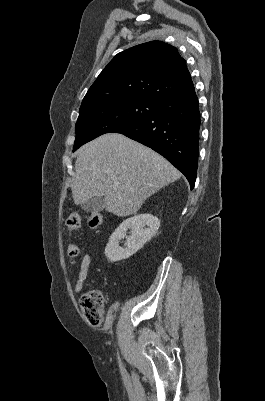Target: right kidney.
Listing matches in <instances>:
<instances>
[{
    "instance_id": "obj_1",
    "label": "right kidney",
    "mask_w": 265,
    "mask_h": 401,
    "mask_svg": "<svg viewBox=\"0 0 265 401\" xmlns=\"http://www.w3.org/2000/svg\"><path fill=\"white\" fill-rule=\"evenodd\" d=\"M159 227L160 221L153 215H136V217L126 219L115 229L105 247L108 261L117 263L122 259H129L139 249H142L147 241H151ZM128 229H131V237H126ZM121 239H126L125 247H119Z\"/></svg>"
}]
</instances>
